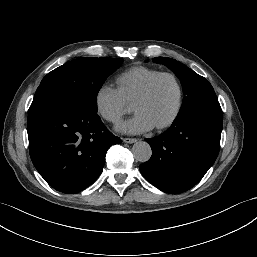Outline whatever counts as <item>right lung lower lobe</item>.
<instances>
[{"mask_svg":"<svg viewBox=\"0 0 257 257\" xmlns=\"http://www.w3.org/2000/svg\"><path fill=\"white\" fill-rule=\"evenodd\" d=\"M27 132L35 168L50 186L67 194L92 184L107 150L121 143L98 114L67 105L30 108Z\"/></svg>","mask_w":257,"mask_h":257,"instance_id":"98d812e1","label":"right lung lower lobe"}]
</instances>
